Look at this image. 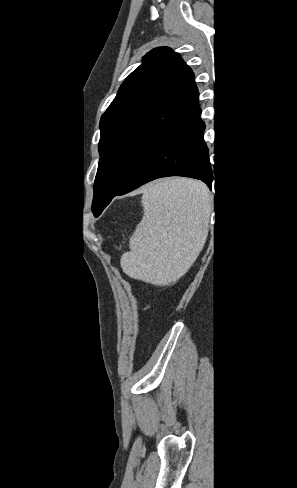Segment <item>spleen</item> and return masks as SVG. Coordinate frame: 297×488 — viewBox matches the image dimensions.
<instances>
[{
  "mask_svg": "<svg viewBox=\"0 0 297 488\" xmlns=\"http://www.w3.org/2000/svg\"><path fill=\"white\" fill-rule=\"evenodd\" d=\"M142 204L143 218L121 266L131 278L166 284L183 275L201 250L211 197L203 183L173 178L149 185Z\"/></svg>",
  "mask_w": 297,
  "mask_h": 488,
  "instance_id": "spleen-1",
  "label": "spleen"
}]
</instances>
